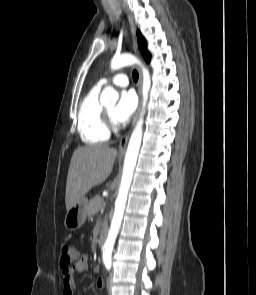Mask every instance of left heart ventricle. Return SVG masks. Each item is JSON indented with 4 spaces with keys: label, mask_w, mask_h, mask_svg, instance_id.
I'll list each match as a JSON object with an SVG mask.
<instances>
[{
    "label": "left heart ventricle",
    "mask_w": 256,
    "mask_h": 295,
    "mask_svg": "<svg viewBox=\"0 0 256 295\" xmlns=\"http://www.w3.org/2000/svg\"><path fill=\"white\" fill-rule=\"evenodd\" d=\"M107 111L110 113L111 116H113L115 111V106H108L106 107Z\"/></svg>",
    "instance_id": "left-heart-ventricle-1"
}]
</instances>
